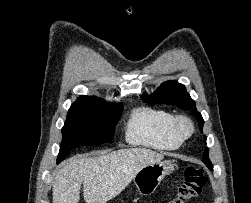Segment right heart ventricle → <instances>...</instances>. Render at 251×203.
Masks as SVG:
<instances>
[{"instance_id": "obj_1", "label": "right heart ventricle", "mask_w": 251, "mask_h": 203, "mask_svg": "<svg viewBox=\"0 0 251 203\" xmlns=\"http://www.w3.org/2000/svg\"><path fill=\"white\" fill-rule=\"evenodd\" d=\"M176 116L165 109L140 107L135 109L125 128V139L130 144L158 150H174L183 138L174 128Z\"/></svg>"}]
</instances>
